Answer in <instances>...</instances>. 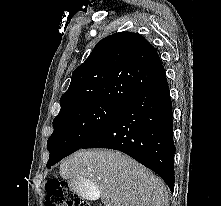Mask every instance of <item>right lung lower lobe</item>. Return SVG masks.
<instances>
[{
	"label": "right lung lower lobe",
	"mask_w": 221,
	"mask_h": 206,
	"mask_svg": "<svg viewBox=\"0 0 221 206\" xmlns=\"http://www.w3.org/2000/svg\"><path fill=\"white\" fill-rule=\"evenodd\" d=\"M85 148H109L131 156L157 173L174 190L172 103L166 76L121 110Z\"/></svg>",
	"instance_id": "right-lung-lower-lobe-1"
}]
</instances>
